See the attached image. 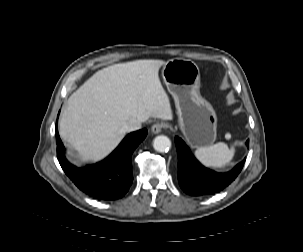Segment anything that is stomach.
<instances>
[{"label":"stomach","mask_w":303,"mask_h":252,"mask_svg":"<svg viewBox=\"0 0 303 252\" xmlns=\"http://www.w3.org/2000/svg\"><path fill=\"white\" fill-rule=\"evenodd\" d=\"M162 77L173 96L179 127L194 148L211 145L216 139L217 117L211 104L200 95V71L188 59H170L162 69Z\"/></svg>","instance_id":"stomach-1"}]
</instances>
